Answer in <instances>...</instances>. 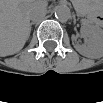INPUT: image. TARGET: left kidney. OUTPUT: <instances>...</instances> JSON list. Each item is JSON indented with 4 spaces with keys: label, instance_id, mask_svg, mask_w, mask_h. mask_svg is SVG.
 <instances>
[{
    "label": "left kidney",
    "instance_id": "left-kidney-1",
    "mask_svg": "<svg viewBox=\"0 0 103 103\" xmlns=\"http://www.w3.org/2000/svg\"><path fill=\"white\" fill-rule=\"evenodd\" d=\"M86 45L74 44L75 49L82 55L89 58H99L102 56L103 40L102 35L92 32H84Z\"/></svg>",
    "mask_w": 103,
    "mask_h": 103
}]
</instances>
